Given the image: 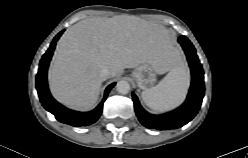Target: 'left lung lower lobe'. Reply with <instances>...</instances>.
I'll list each match as a JSON object with an SVG mask.
<instances>
[{"instance_id": "obj_1", "label": "left lung lower lobe", "mask_w": 248, "mask_h": 158, "mask_svg": "<svg viewBox=\"0 0 248 158\" xmlns=\"http://www.w3.org/2000/svg\"><path fill=\"white\" fill-rule=\"evenodd\" d=\"M178 42L185 51L192 74V82L187 99L182 106L172 112L163 115H152L141 107L136 95L132 93L136 115L147 128L157 130L180 128L194 118L201 106L204 96V72L202 65L199 62L193 44L188 38L180 36Z\"/></svg>"}]
</instances>
